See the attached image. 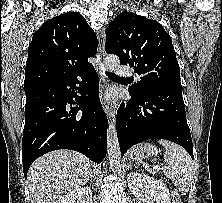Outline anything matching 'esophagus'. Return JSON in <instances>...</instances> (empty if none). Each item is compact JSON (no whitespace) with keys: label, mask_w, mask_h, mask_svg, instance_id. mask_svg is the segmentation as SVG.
Returning a JSON list of instances; mask_svg holds the SVG:
<instances>
[{"label":"esophagus","mask_w":222,"mask_h":203,"mask_svg":"<svg viewBox=\"0 0 222 203\" xmlns=\"http://www.w3.org/2000/svg\"><path fill=\"white\" fill-rule=\"evenodd\" d=\"M98 57L100 59V63L97 66V72L101 82V102L104 108V111L108 118L112 121L115 120V113L113 109L108 105L105 100V88H106V79L104 73V45H105V28L101 29L98 33Z\"/></svg>","instance_id":"obj_1"}]
</instances>
